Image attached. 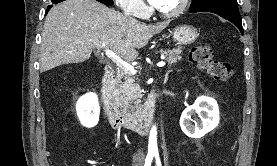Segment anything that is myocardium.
<instances>
[{
    "label": "myocardium",
    "instance_id": "myocardium-1",
    "mask_svg": "<svg viewBox=\"0 0 277 166\" xmlns=\"http://www.w3.org/2000/svg\"><path fill=\"white\" fill-rule=\"evenodd\" d=\"M190 0H180L179 5L170 11L156 10V13L163 18H173L182 14L187 8Z\"/></svg>",
    "mask_w": 277,
    "mask_h": 166
}]
</instances>
